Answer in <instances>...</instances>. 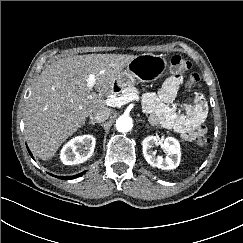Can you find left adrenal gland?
<instances>
[{
    "mask_svg": "<svg viewBox=\"0 0 243 243\" xmlns=\"http://www.w3.org/2000/svg\"><path fill=\"white\" fill-rule=\"evenodd\" d=\"M138 121H139V122H144V120H140V119H139Z\"/></svg>",
    "mask_w": 243,
    "mask_h": 243,
    "instance_id": "obj_1",
    "label": "left adrenal gland"
}]
</instances>
